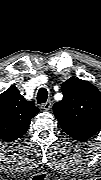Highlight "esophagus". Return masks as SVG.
<instances>
[{"label":"esophagus","mask_w":101,"mask_h":180,"mask_svg":"<svg viewBox=\"0 0 101 180\" xmlns=\"http://www.w3.org/2000/svg\"><path fill=\"white\" fill-rule=\"evenodd\" d=\"M52 107V103L50 101H47L46 103L42 104L40 108L44 111L50 110Z\"/></svg>","instance_id":"esophagus-1"}]
</instances>
